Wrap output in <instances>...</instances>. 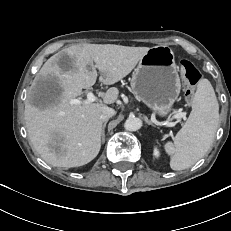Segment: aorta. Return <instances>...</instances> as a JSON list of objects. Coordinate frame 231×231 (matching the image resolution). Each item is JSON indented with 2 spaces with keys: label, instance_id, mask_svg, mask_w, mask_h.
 <instances>
[{
  "label": "aorta",
  "instance_id": "obj_1",
  "mask_svg": "<svg viewBox=\"0 0 231 231\" xmlns=\"http://www.w3.org/2000/svg\"><path fill=\"white\" fill-rule=\"evenodd\" d=\"M141 126L142 121L137 117H129L124 123V128L127 131H137L141 128Z\"/></svg>",
  "mask_w": 231,
  "mask_h": 231
}]
</instances>
